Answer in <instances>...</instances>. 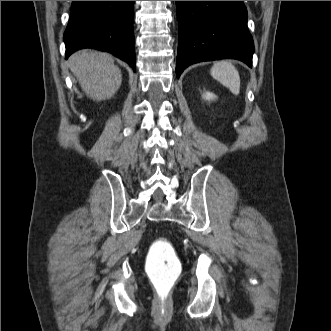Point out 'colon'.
Listing matches in <instances>:
<instances>
[{"mask_svg":"<svg viewBox=\"0 0 331 331\" xmlns=\"http://www.w3.org/2000/svg\"><path fill=\"white\" fill-rule=\"evenodd\" d=\"M146 272L159 303L167 304L182 272L181 263L169 241L158 239L153 242L146 260Z\"/></svg>","mask_w":331,"mask_h":331,"instance_id":"1","label":"colon"}]
</instances>
